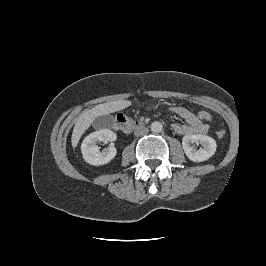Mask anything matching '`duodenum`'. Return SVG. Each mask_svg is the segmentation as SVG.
<instances>
[{
	"label": "duodenum",
	"mask_w": 266,
	"mask_h": 266,
	"mask_svg": "<svg viewBox=\"0 0 266 266\" xmlns=\"http://www.w3.org/2000/svg\"><path fill=\"white\" fill-rule=\"evenodd\" d=\"M136 124H134L127 116L118 114L115 119V127L122 132H130Z\"/></svg>",
	"instance_id": "1"
}]
</instances>
